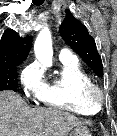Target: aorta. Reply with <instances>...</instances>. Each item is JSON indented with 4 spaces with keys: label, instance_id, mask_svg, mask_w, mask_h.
Masks as SVG:
<instances>
[{
    "label": "aorta",
    "instance_id": "aorta-1",
    "mask_svg": "<svg viewBox=\"0 0 117 136\" xmlns=\"http://www.w3.org/2000/svg\"><path fill=\"white\" fill-rule=\"evenodd\" d=\"M34 51L38 61L46 66H52L53 61V48L51 33L47 27H45L38 35L35 44Z\"/></svg>",
    "mask_w": 117,
    "mask_h": 136
}]
</instances>
